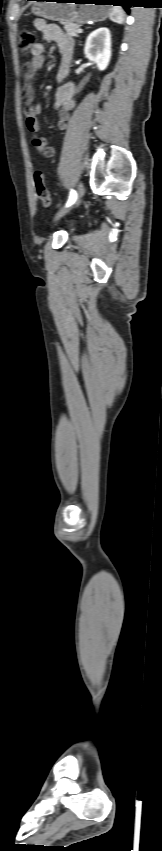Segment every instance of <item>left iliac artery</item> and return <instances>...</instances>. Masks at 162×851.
I'll list each match as a JSON object with an SVG mask.
<instances>
[{
  "label": "left iliac artery",
  "mask_w": 162,
  "mask_h": 851,
  "mask_svg": "<svg viewBox=\"0 0 162 851\" xmlns=\"http://www.w3.org/2000/svg\"><path fill=\"white\" fill-rule=\"evenodd\" d=\"M76 199H77V193H76V191H75V190H71V191H70V196H69L68 202H67V204H66V207L71 206V205H72V204L76 201Z\"/></svg>",
  "instance_id": "1"
}]
</instances>
